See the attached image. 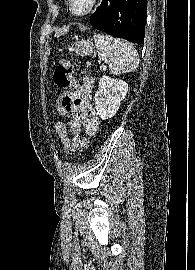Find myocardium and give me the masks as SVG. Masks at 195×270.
Masks as SVG:
<instances>
[{
	"instance_id": "f54148a6",
	"label": "myocardium",
	"mask_w": 195,
	"mask_h": 270,
	"mask_svg": "<svg viewBox=\"0 0 195 270\" xmlns=\"http://www.w3.org/2000/svg\"><path fill=\"white\" fill-rule=\"evenodd\" d=\"M71 3H72V0L66 1L67 8H68L69 12L75 17H84L96 9V7L98 6L99 0H91L89 7L86 10H84L83 12H75L72 9Z\"/></svg>"
}]
</instances>
